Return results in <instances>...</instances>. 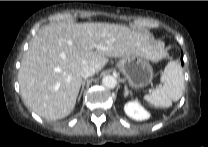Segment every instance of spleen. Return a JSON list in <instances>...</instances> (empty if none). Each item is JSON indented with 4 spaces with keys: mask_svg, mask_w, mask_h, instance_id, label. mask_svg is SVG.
I'll use <instances>...</instances> for the list:
<instances>
[{
    "mask_svg": "<svg viewBox=\"0 0 208 147\" xmlns=\"http://www.w3.org/2000/svg\"><path fill=\"white\" fill-rule=\"evenodd\" d=\"M160 80L163 85L145 95L144 99L155 107H171L172 101H178L184 91L183 70L179 63L170 61L166 65Z\"/></svg>",
    "mask_w": 208,
    "mask_h": 147,
    "instance_id": "obj_1",
    "label": "spleen"
}]
</instances>
